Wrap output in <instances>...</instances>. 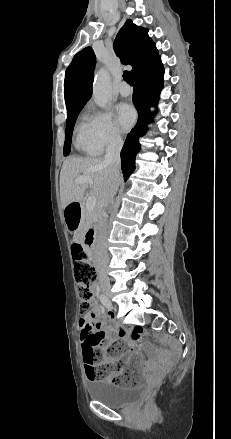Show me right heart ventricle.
Instances as JSON below:
<instances>
[{"instance_id":"right-heart-ventricle-1","label":"right heart ventricle","mask_w":231,"mask_h":439,"mask_svg":"<svg viewBox=\"0 0 231 439\" xmlns=\"http://www.w3.org/2000/svg\"><path fill=\"white\" fill-rule=\"evenodd\" d=\"M75 147L82 153L96 155L98 152L89 142L86 134V122H81L75 130Z\"/></svg>"}]
</instances>
